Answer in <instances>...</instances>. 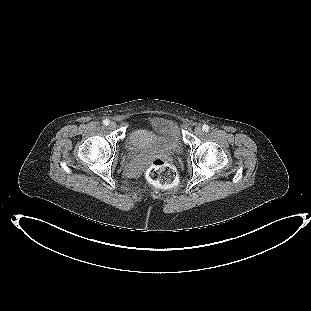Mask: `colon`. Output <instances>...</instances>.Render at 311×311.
I'll return each mask as SVG.
<instances>
[{"label": "colon", "instance_id": "obj_1", "mask_svg": "<svg viewBox=\"0 0 311 311\" xmlns=\"http://www.w3.org/2000/svg\"><path fill=\"white\" fill-rule=\"evenodd\" d=\"M148 180L155 186L170 188L177 182L178 176L174 167L168 162L154 159L146 171Z\"/></svg>", "mask_w": 311, "mask_h": 311}]
</instances>
